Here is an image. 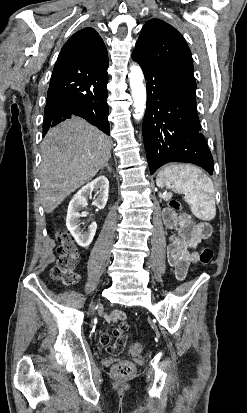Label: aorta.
Listing matches in <instances>:
<instances>
[{
    "label": "aorta",
    "mask_w": 247,
    "mask_h": 413,
    "mask_svg": "<svg viewBox=\"0 0 247 413\" xmlns=\"http://www.w3.org/2000/svg\"><path fill=\"white\" fill-rule=\"evenodd\" d=\"M128 77L134 101L135 114L133 116L139 121L143 117L146 108V88L143 84L144 75L140 66L132 65Z\"/></svg>",
    "instance_id": "762f6f07"
}]
</instances>
